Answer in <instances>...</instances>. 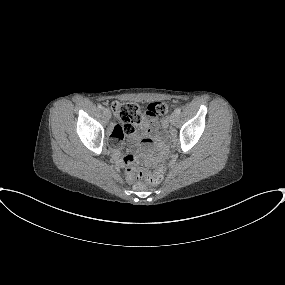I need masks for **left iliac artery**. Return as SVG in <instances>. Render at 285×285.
I'll use <instances>...</instances> for the list:
<instances>
[{
    "instance_id": "44dca946",
    "label": "left iliac artery",
    "mask_w": 285,
    "mask_h": 285,
    "mask_svg": "<svg viewBox=\"0 0 285 285\" xmlns=\"http://www.w3.org/2000/svg\"><path fill=\"white\" fill-rule=\"evenodd\" d=\"M175 113H176L177 115H179V114L181 113V108H177V109L175 110Z\"/></svg>"
}]
</instances>
